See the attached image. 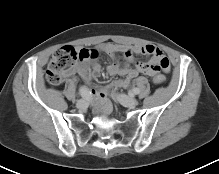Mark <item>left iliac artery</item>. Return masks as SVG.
<instances>
[{
  "mask_svg": "<svg viewBox=\"0 0 219 174\" xmlns=\"http://www.w3.org/2000/svg\"><path fill=\"white\" fill-rule=\"evenodd\" d=\"M139 92H140V90L138 88L132 89V94L137 95V94H139Z\"/></svg>",
  "mask_w": 219,
  "mask_h": 174,
  "instance_id": "obj_1",
  "label": "left iliac artery"
}]
</instances>
